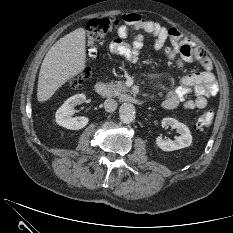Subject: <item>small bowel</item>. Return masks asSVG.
<instances>
[{
    "mask_svg": "<svg viewBox=\"0 0 233 233\" xmlns=\"http://www.w3.org/2000/svg\"><path fill=\"white\" fill-rule=\"evenodd\" d=\"M123 21L124 24L120 25L117 30L118 37L109 45L110 52L135 63L144 45V34H151L155 37L153 47L157 51L169 42L172 55L178 54L187 62L196 60L204 67V70L181 77L179 85L165 95L161 106L164 109L178 107L187 110L204 109L207 106V99L216 95L219 90L210 59L205 51L184 38L177 29L166 28L159 22L143 18L136 13L123 15ZM190 93L194 94L193 99H187Z\"/></svg>",
    "mask_w": 233,
    "mask_h": 233,
    "instance_id": "c3829d8e",
    "label": "small bowel"
}]
</instances>
